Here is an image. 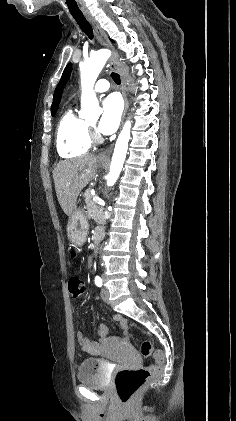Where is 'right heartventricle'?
Instances as JSON below:
<instances>
[{
	"mask_svg": "<svg viewBox=\"0 0 236 421\" xmlns=\"http://www.w3.org/2000/svg\"><path fill=\"white\" fill-rule=\"evenodd\" d=\"M87 122L68 109L61 116L56 130V148L65 159H77L86 155L91 149V142L86 131Z\"/></svg>",
	"mask_w": 236,
	"mask_h": 421,
	"instance_id": "obj_1",
	"label": "right heart ventricle"
}]
</instances>
